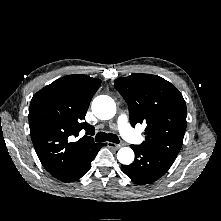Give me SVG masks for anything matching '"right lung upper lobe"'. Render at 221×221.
I'll use <instances>...</instances> for the list:
<instances>
[{"label": "right lung upper lobe", "instance_id": "obj_1", "mask_svg": "<svg viewBox=\"0 0 221 221\" xmlns=\"http://www.w3.org/2000/svg\"><path fill=\"white\" fill-rule=\"evenodd\" d=\"M100 84L101 80L86 75H69L33 96L28 115L31 139L51 175L78 165L100 145L87 135L73 141L82 129L94 133V127L83 120Z\"/></svg>", "mask_w": 221, "mask_h": 221}]
</instances>
